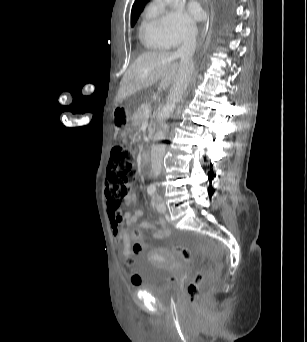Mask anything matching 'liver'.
I'll list each match as a JSON object with an SVG mask.
<instances>
[{"instance_id": "1", "label": "liver", "mask_w": 307, "mask_h": 342, "mask_svg": "<svg viewBox=\"0 0 307 342\" xmlns=\"http://www.w3.org/2000/svg\"><path fill=\"white\" fill-rule=\"evenodd\" d=\"M173 52H143L126 70L115 102H122L132 94L149 88L161 80V88L173 84L179 64L173 62Z\"/></svg>"}]
</instances>
